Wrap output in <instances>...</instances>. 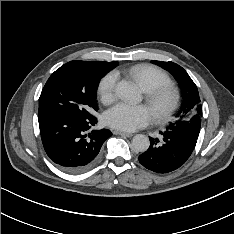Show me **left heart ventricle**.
<instances>
[{"label":"left heart ventricle","mask_w":234,"mask_h":234,"mask_svg":"<svg viewBox=\"0 0 234 234\" xmlns=\"http://www.w3.org/2000/svg\"><path fill=\"white\" fill-rule=\"evenodd\" d=\"M168 102V99L167 98H164L160 101V103L158 104V108L159 109H162L163 107H165V105L167 104Z\"/></svg>","instance_id":"b2bd125f"}]
</instances>
